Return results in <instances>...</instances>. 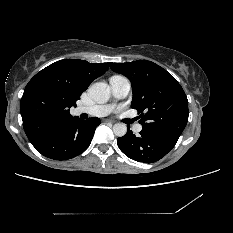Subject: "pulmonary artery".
<instances>
[{
	"label": "pulmonary artery",
	"mask_w": 233,
	"mask_h": 233,
	"mask_svg": "<svg viewBox=\"0 0 233 233\" xmlns=\"http://www.w3.org/2000/svg\"><path fill=\"white\" fill-rule=\"evenodd\" d=\"M112 95L116 99H122L128 95L131 89V83L125 76L114 75L109 79ZM114 109L113 104H94L91 106H79L75 108L76 115L88 114L90 116H106ZM142 130L141 124L134 125V131L139 133Z\"/></svg>",
	"instance_id": "pulmonary-artery-1"
}]
</instances>
